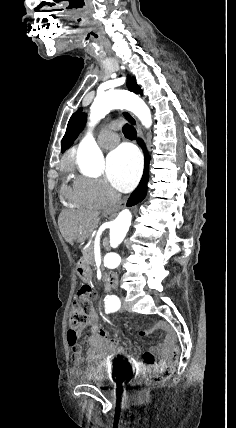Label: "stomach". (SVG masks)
Listing matches in <instances>:
<instances>
[{
	"label": "stomach",
	"instance_id": "0dacf381",
	"mask_svg": "<svg viewBox=\"0 0 236 428\" xmlns=\"http://www.w3.org/2000/svg\"><path fill=\"white\" fill-rule=\"evenodd\" d=\"M77 275L78 278L81 279V282L84 283V285H89V283L94 282V275L91 274L93 271L92 264H81V266L77 267Z\"/></svg>",
	"mask_w": 236,
	"mask_h": 428
}]
</instances>
